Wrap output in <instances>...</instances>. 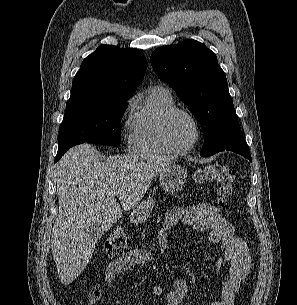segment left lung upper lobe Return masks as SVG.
Masks as SVG:
<instances>
[{
    "label": "left lung upper lobe",
    "mask_w": 297,
    "mask_h": 305,
    "mask_svg": "<svg viewBox=\"0 0 297 305\" xmlns=\"http://www.w3.org/2000/svg\"><path fill=\"white\" fill-rule=\"evenodd\" d=\"M150 61L158 77L171 84L203 127L202 156L249 149L241 134L225 73L210 49L189 39L156 49Z\"/></svg>",
    "instance_id": "obj_1"
}]
</instances>
